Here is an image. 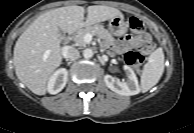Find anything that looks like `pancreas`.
Wrapping results in <instances>:
<instances>
[{
    "mask_svg": "<svg viewBox=\"0 0 194 133\" xmlns=\"http://www.w3.org/2000/svg\"><path fill=\"white\" fill-rule=\"evenodd\" d=\"M86 34L98 36L99 38L105 40L107 43L114 42V38L112 37L111 33L108 30H106L103 26L96 24L93 26H88L77 32V34L74 37V41L77 46L86 45V42L84 41V37Z\"/></svg>",
    "mask_w": 194,
    "mask_h": 133,
    "instance_id": "obj_1",
    "label": "pancreas"
}]
</instances>
